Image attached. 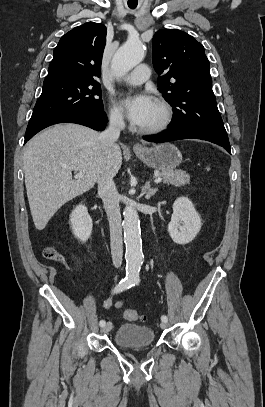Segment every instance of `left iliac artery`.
Masks as SVG:
<instances>
[{"label": "left iliac artery", "mask_w": 265, "mask_h": 407, "mask_svg": "<svg viewBox=\"0 0 265 407\" xmlns=\"http://www.w3.org/2000/svg\"><path fill=\"white\" fill-rule=\"evenodd\" d=\"M133 282H134V285H135V284H139L140 280H139V278H135ZM161 320H162L163 322H167V321H168V318H167L166 315H162Z\"/></svg>", "instance_id": "obj_1"}]
</instances>
